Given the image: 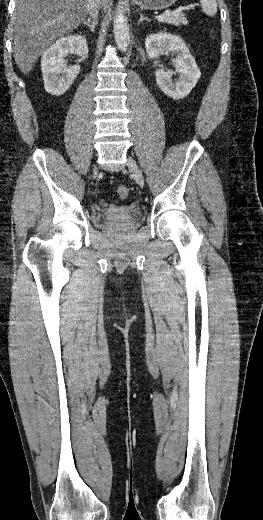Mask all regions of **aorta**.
Listing matches in <instances>:
<instances>
[{"label": "aorta", "mask_w": 263, "mask_h": 520, "mask_svg": "<svg viewBox=\"0 0 263 520\" xmlns=\"http://www.w3.org/2000/svg\"><path fill=\"white\" fill-rule=\"evenodd\" d=\"M113 32L115 42L120 51L125 52L130 43V33L127 17L120 7L114 19Z\"/></svg>", "instance_id": "aorta-1"}]
</instances>
